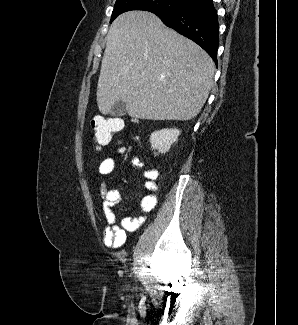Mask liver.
<instances>
[{"label": "liver", "mask_w": 298, "mask_h": 325, "mask_svg": "<svg viewBox=\"0 0 298 325\" xmlns=\"http://www.w3.org/2000/svg\"><path fill=\"white\" fill-rule=\"evenodd\" d=\"M96 100L108 114L117 100L133 118L191 120L205 104L214 62L196 42L147 10L119 14L106 36Z\"/></svg>", "instance_id": "liver-1"}]
</instances>
